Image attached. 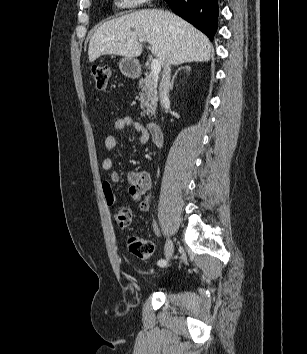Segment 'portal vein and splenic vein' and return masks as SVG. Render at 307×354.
<instances>
[{"mask_svg": "<svg viewBox=\"0 0 307 354\" xmlns=\"http://www.w3.org/2000/svg\"><path fill=\"white\" fill-rule=\"evenodd\" d=\"M140 42H144V39H139ZM161 70V64L158 59H153L151 62V73L154 78L158 77Z\"/></svg>", "mask_w": 307, "mask_h": 354, "instance_id": "18ae733b", "label": "portal vein and splenic vein"}]
</instances>
